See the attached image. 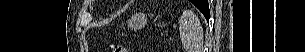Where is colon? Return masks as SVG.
<instances>
[{
    "instance_id": "colon-1",
    "label": "colon",
    "mask_w": 305,
    "mask_h": 52,
    "mask_svg": "<svg viewBox=\"0 0 305 52\" xmlns=\"http://www.w3.org/2000/svg\"><path fill=\"white\" fill-rule=\"evenodd\" d=\"M110 47L112 52H127L125 47L120 44H111Z\"/></svg>"
}]
</instances>
